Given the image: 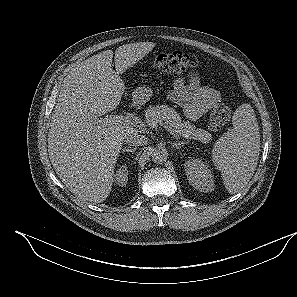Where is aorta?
I'll return each instance as SVG.
<instances>
[{
  "instance_id": "aorta-1",
  "label": "aorta",
  "mask_w": 297,
  "mask_h": 297,
  "mask_svg": "<svg viewBox=\"0 0 297 297\" xmlns=\"http://www.w3.org/2000/svg\"><path fill=\"white\" fill-rule=\"evenodd\" d=\"M152 161L157 164L164 163L168 158V152L163 147L154 148L151 153Z\"/></svg>"
}]
</instances>
